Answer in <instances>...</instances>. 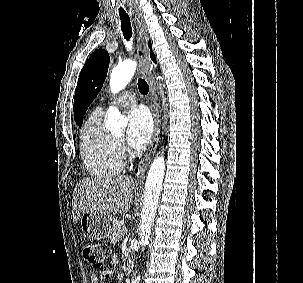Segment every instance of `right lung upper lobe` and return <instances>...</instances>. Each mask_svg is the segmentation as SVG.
I'll list each match as a JSON object with an SVG mask.
<instances>
[{"instance_id":"right-lung-upper-lobe-1","label":"right lung upper lobe","mask_w":303,"mask_h":283,"mask_svg":"<svg viewBox=\"0 0 303 283\" xmlns=\"http://www.w3.org/2000/svg\"><path fill=\"white\" fill-rule=\"evenodd\" d=\"M150 55H151V59H152L154 62H156L155 56H154V54H153L152 51L150 52Z\"/></svg>"}]
</instances>
